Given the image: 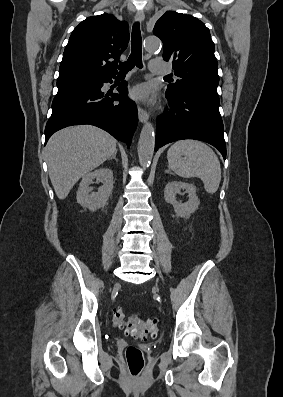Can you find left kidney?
Returning a JSON list of instances; mask_svg holds the SVG:
<instances>
[{
    "label": "left kidney",
    "instance_id": "1",
    "mask_svg": "<svg viewBox=\"0 0 283 397\" xmlns=\"http://www.w3.org/2000/svg\"><path fill=\"white\" fill-rule=\"evenodd\" d=\"M181 190H185L188 193L189 199L186 203L176 200L175 196ZM164 198L167 203L173 205L176 216L182 218H189L198 209L200 204L195 186L185 182H169L164 189Z\"/></svg>",
    "mask_w": 283,
    "mask_h": 397
}]
</instances>
